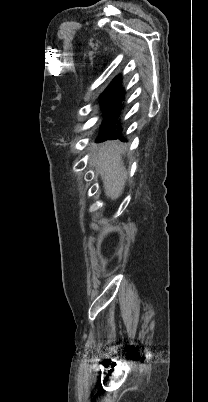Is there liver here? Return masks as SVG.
<instances>
[{
	"instance_id": "liver-1",
	"label": "liver",
	"mask_w": 208,
	"mask_h": 402,
	"mask_svg": "<svg viewBox=\"0 0 208 402\" xmlns=\"http://www.w3.org/2000/svg\"><path fill=\"white\" fill-rule=\"evenodd\" d=\"M122 146L111 142L110 146H102L98 152L96 172L103 180L104 192L111 200H117L121 196L127 172L121 162Z\"/></svg>"
}]
</instances>
